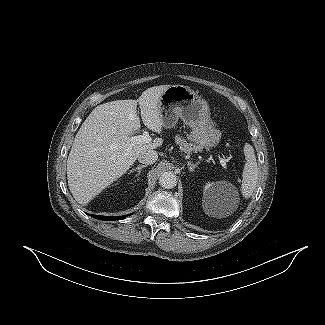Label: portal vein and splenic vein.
Listing matches in <instances>:
<instances>
[{"label":"portal vein and splenic vein","instance_id":"obj_1","mask_svg":"<svg viewBox=\"0 0 325 325\" xmlns=\"http://www.w3.org/2000/svg\"><path fill=\"white\" fill-rule=\"evenodd\" d=\"M151 137L149 136V133L147 131H144L142 135L132 136L130 137V142L132 144H146L151 142ZM219 161L222 165V167L226 168V160L222 157L218 156Z\"/></svg>","mask_w":325,"mask_h":325}]
</instances>
